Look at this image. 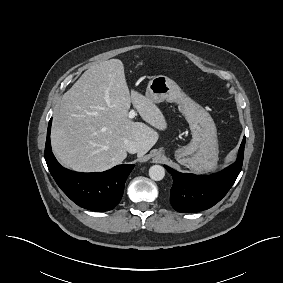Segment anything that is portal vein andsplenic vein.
Segmentation results:
<instances>
[{
    "mask_svg": "<svg viewBox=\"0 0 283 283\" xmlns=\"http://www.w3.org/2000/svg\"><path fill=\"white\" fill-rule=\"evenodd\" d=\"M136 116V112L134 110H131L128 114L129 119H133Z\"/></svg>",
    "mask_w": 283,
    "mask_h": 283,
    "instance_id": "portal-vein-and-splenic-vein-1",
    "label": "portal vein and splenic vein"
}]
</instances>
